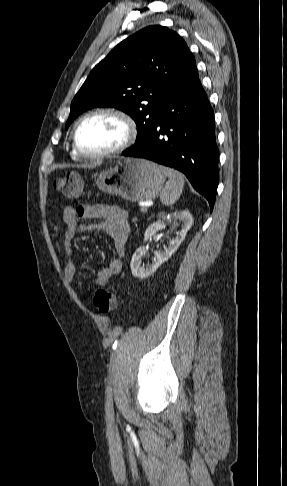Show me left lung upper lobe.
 I'll use <instances>...</instances> for the list:
<instances>
[{"label": "left lung upper lobe", "mask_w": 287, "mask_h": 486, "mask_svg": "<svg viewBox=\"0 0 287 486\" xmlns=\"http://www.w3.org/2000/svg\"><path fill=\"white\" fill-rule=\"evenodd\" d=\"M196 70L194 56L176 32L148 26L120 42L93 68L72 100L66 127L90 108L114 107L136 122L138 145L169 94Z\"/></svg>", "instance_id": "5c2ea615"}]
</instances>
